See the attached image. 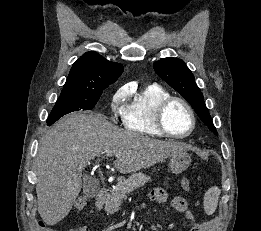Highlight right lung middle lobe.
<instances>
[{"mask_svg":"<svg viewBox=\"0 0 261 231\" xmlns=\"http://www.w3.org/2000/svg\"><path fill=\"white\" fill-rule=\"evenodd\" d=\"M102 91L93 92H61L56 101L50 116L47 119V125H52L60 117L73 111L92 110L99 100Z\"/></svg>","mask_w":261,"mask_h":231,"instance_id":"1","label":"right lung middle lobe"}]
</instances>
